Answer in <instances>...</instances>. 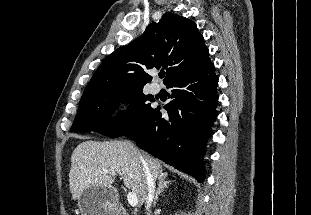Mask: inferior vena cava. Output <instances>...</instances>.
I'll return each instance as SVG.
<instances>
[{
  "label": "inferior vena cava",
  "mask_w": 311,
  "mask_h": 215,
  "mask_svg": "<svg viewBox=\"0 0 311 215\" xmlns=\"http://www.w3.org/2000/svg\"><path fill=\"white\" fill-rule=\"evenodd\" d=\"M142 165H143V170L146 176V183H147V197H146V209L148 212H150V208L153 202V198H154V193H155V179L153 177V175L150 172V169L147 165V163L145 162V160L142 158V156H139ZM150 215V214H148Z\"/></svg>",
  "instance_id": "1"
}]
</instances>
